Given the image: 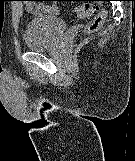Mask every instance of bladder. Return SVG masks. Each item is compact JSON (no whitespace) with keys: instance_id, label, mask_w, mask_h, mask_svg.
I'll return each instance as SVG.
<instances>
[{"instance_id":"31cf9c89","label":"bladder","mask_w":135,"mask_h":161,"mask_svg":"<svg viewBox=\"0 0 135 161\" xmlns=\"http://www.w3.org/2000/svg\"><path fill=\"white\" fill-rule=\"evenodd\" d=\"M66 30L65 22L57 16L34 17L29 19L23 33V41L31 51H43L56 46Z\"/></svg>"}]
</instances>
